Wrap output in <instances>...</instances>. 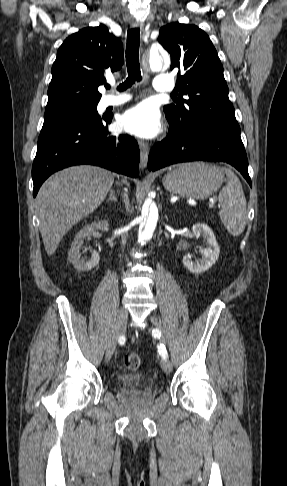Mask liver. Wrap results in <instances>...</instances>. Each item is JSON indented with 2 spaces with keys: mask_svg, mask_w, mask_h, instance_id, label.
<instances>
[{
  "mask_svg": "<svg viewBox=\"0 0 287 486\" xmlns=\"http://www.w3.org/2000/svg\"><path fill=\"white\" fill-rule=\"evenodd\" d=\"M113 182L114 174L110 171L81 165L59 171L43 183L36 205L39 229L49 256L76 223L100 206Z\"/></svg>",
  "mask_w": 287,
  "mask_h": 486,
  "instance_id": "6515ba94",
  "label": "liver"
}]
</instances>
